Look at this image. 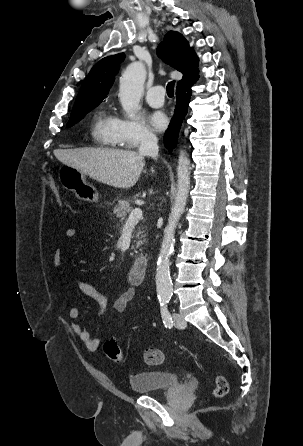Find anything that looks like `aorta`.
Listing matches in <instances>:
<instances>
[{"label":"aorta","mask_w":303,"mask_h":446,"mask_svg":"<svg viewBox=\"0 0 303 446\" xmlns=\"http://www.w3.org/2000/svg\"><path fill=\"white\" fill-rule=\"evenodd\" d=\"M146 70L141 62L130 64L120 79L119 98L125 114L133 119L139 110V102L144 91ZM177 194L174 206L164 230L163 241L157 261L156 290L160 301H167L172 295L170 277V256L175 245V229L185 210L190 189V160L181 150L177 165Z\"/></svg>","instance_id":"1"}]
</instances>
